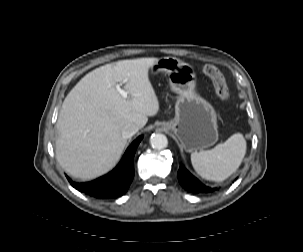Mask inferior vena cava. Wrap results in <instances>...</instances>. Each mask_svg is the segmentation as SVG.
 Masks as SVG:
<instances>
[{"instance_id":"obj_1","label":"inferior vena cava","mask_w":303,"mask_h":252,"mask_svg":"<svg viewBox=\"0 0 303 252\" xmlns=\"http://www.w3.org/2000/svg\"><path fill=\"white\" fill-rule=\"evenodd\" d=\"M139 130V127L135 124L125 125L122 129V136L126 139L131 138Z\"/></svg>"}]
</instances>
